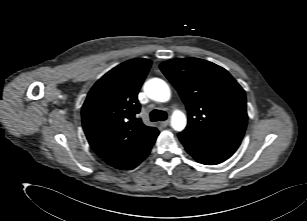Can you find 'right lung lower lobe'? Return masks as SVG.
Instances as JSON below:
<instances>
[{
  "instance_id": "obj_1",
  "label": "right lung lower lobe",
  "mask_w": 307,
  "mask_h": 221,
  "mask_svg": "<svg viewBox=\"0 0 307 221\" xmlns=\"http://www.w3.org/2000/svg\"><path fill=\"white\" fill-rule=\"evenodd\" d=\"M158 134L151 141H149L142 149H140L137 153L132 155L125 162L115 166V168L121 169V170H130V169L135 168L137 165H139L150 153V150H151Z\"/></svg>"
}]
</instances>
